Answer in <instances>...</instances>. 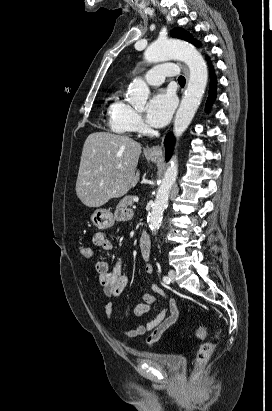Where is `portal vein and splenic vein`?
I'll use <instances>...</instances> for the list:
<instances>
[{
	"instance_id": "obj_1",
	"label": "portal vein and splenic vein",
	"mask_w": 272,
	"mask_h": 411,
	"mask_svg": "<svg viewBox=\"0 0 272 411\" xmlns=\"http://www.w3.org/2000/svg\"><path fill=\"white\" fill-rule=\"evenodd\" d=\"M139 198L138 197H134L133 201L134 202H138Z\"/></svg>"
}]
</instances>
